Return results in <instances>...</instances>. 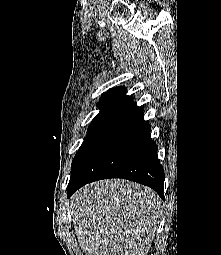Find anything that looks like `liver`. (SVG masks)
I'll list each match as a JSON object with an SVG mask.
<instances>
[{"label": "liver", "instance_id": "obj_1", "mask_svg": "<svg viewBox=\"0 0 221 255\" xmlns=\"http://www.w3.org/2000/svg\"><path fill=\"white\" fill-rule=\"evenodd\" d=\"M69 207L87 255H147L163 215L153 190L121 179L88 184L70 198Z\"/></svg>", "mask_w": 221, "mask_h": 255}]
</instances>
